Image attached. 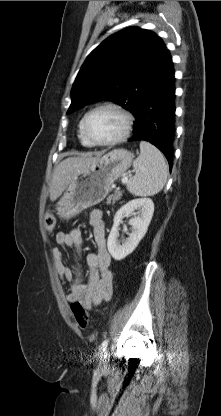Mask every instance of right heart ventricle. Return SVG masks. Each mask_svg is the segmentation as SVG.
I'll return each mask as SVG.
<instances>
[{
  "label": "right heart ventricle",
  "instance_id": "right-heart-ventricle-1",
  "mask_svg": "<svg viewBox=\"0 0 221 416\" xmlns=\"http://www.w3.org/2000/svg\"><path fill=\"white\" fill-rule=\"evenodd\" d=\"M79 139H80V142L84 145V146H92L85 138H84V136L82 135V133H81V130H79Z\"/></svg>",
  "mask_w": 221,
  "mask_h": 416
}]
</instances>
